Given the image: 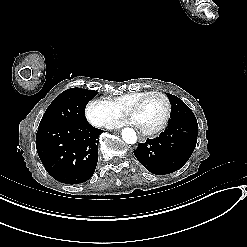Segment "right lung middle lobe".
<instances>
[{
  "label": "right lung middle lobe",
  "mask_w": 247,
  "mask_h": 247,
  "mask_svg": "<svg viewBox=\"0 0 247 247\" xmlns=\"http://www.w3.org/2000/svg\"><path fill=\"white\" fill-rule=\"evenodd\" d=\"M96 91L70 88L59 94L45 111L39 127L57 123H85V107Z\"/></svg>",
  "instance_id": "obj_1"
}]
</instances>
